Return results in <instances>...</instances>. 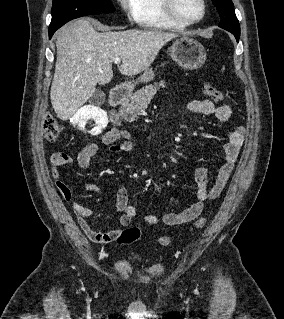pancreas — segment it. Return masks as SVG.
<instances>
[{"mask_svg":"<svg viewBox=\"0 0 284 319\" xmlns=\"http://www.w3.org/2000/svg\"><path fill=\"white\" fill-rule=\"evenodd\" d=\"M165 86V82L161 81L159 84L154 83L134 92L130 100L120 109V116L130 122L135 121L148 108L160 87L165 88Z\"/></svg>","mask_w":284,"mask_h":319,"instance_id":"obj_1","label":"pancreas"}]
</instances>
